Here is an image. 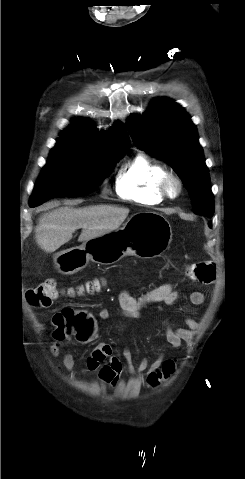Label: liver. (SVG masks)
<instances>
[{
  "label": "liver",
  "mask_w": 245,
  "mask_h": 479,
  "mask_svg": "<svg viewBox=\"0 0 245 479\" xmlns=\"http://www.w3.org/2000/svg\"><path fill=\"white\" fill-rule=\"evenodd\" d=\"M128 214V208L113 205L59 207L39 218L35 239L44 251L54 252L70 241L77 229H82L78 241L85 242L117 230Z\"/></svg>",
  "instance_id": "obj_1"
}]
</instances>
